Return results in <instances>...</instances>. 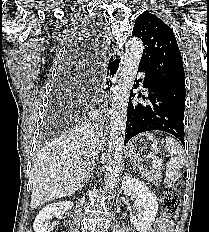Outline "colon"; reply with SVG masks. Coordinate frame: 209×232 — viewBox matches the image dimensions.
Here are the masks:
<instances>
[{"label": "colon", "mask_w": 209, "mask_h": 232, "mask_svg": "<svg viewBox=\"0 0 209 232\" xmlns=\"http://www.w3.org/2000/svg\"><path fill=\"white\" fill-rule=\"evenodd\" d=\"M164 212L161 219L165 222H171L178 216L180 207V197L174 187H167L163 196Z\"/></svg>", "instance_id": "colon-1"}]
</instances>
